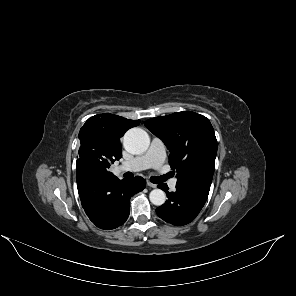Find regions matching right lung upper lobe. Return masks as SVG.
Listing matches in <instances>:
<instances>
[{
  "instance_id": "cb5924a9",
  "label": "right lung upper lobe",
  "mask_w": 296,
  "mask_h": 296,
  "mask_svg": "<svg viewBox=\"0 0 296 296\" xmlns=\"http://www.w3.org/2000/svg\"><path fill=\"white\" fill-rule=\"evenodd\" d=\"M139 123L140 120H129L109 113L98 114L85 122L78 138L81 145L91 144L105 149L115 161L122 157L120 138L127 129Z\"/></svg>"
}]
</instances>
